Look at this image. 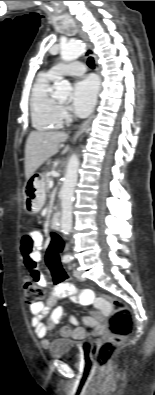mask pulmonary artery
<instances>
[{
    "instance_id": "pulmonary-artery-1",
    "label": "pulmonary artery",
    "mask_w": 155,
    "mask_h": 395,
    "mask_svg": "<svg viewBox=\"0 0 155 395\" xmlns=\"http://www.w3.org/2000/svg\"><path fill=\"white\" fill-rule=\"evenodd\" d=\"M86 71V68L81 62H71L68 64H57L53 66L49 73L55 78H61L63 76H79Z\"/></svg>"
}]
</instances>
